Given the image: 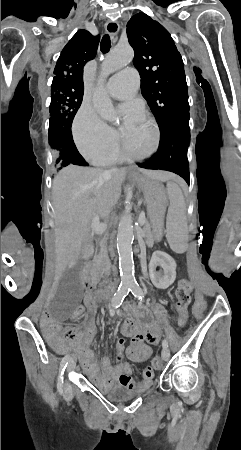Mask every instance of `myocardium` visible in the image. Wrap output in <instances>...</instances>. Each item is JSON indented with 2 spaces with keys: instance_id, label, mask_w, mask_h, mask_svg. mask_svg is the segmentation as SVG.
<instances>
[{
  "instance_id": "obj_1",
  "label": "myocardium",
  "mask_w": 241,
  "mask_h": 450,
  "mask_svg": "<svg viewBox=\"0 0 241 450\" xmlns=\"http://www.w3.org/2000/svg\"><path fill=\"white\" fill-rule=\"evenodd\" d=\"M151 127H156V122H151ZM153 134H154V137L152 138V140H150V145H152V148L153 149H159L160 148V145L159 144H155V143H157L158 142V137L160 136V131L159 130H154L153 131ZM122 143V142H121ZM119 148L120 149H124L125 148V145L124 144H120L119 145ZM151 151V150H150ZM154 151V150H153ZM119 156L120 157H124L125 156V153L124 152H120L119 153ZM147 157H152V152H147ZM143 160V159H142ZM141 161V159L140 160H135V162H140Z\"/></svg>"
}]
</instances>
